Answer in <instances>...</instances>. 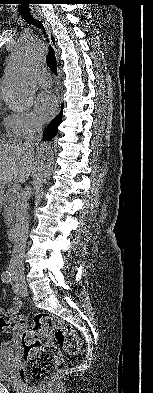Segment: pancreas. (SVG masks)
Masks as SVG:
<instances>
[{
    "label": "pancreas",
    "mask_w": 153,
    "mask_h": 393,
    "mask_svg": "<svg viewBox=\"0 0 153 393\" xmlns=\"http://www.w3.org/2000/svg\"><path fill=\"white\" fill-rule=\"evenodd\" d=\"M17 195L18 192H13L10 187L0 199V204L4 208V222L7 227L13 224Z\"/></svg>",
    "instance_id": "1"
}]
</instances>
